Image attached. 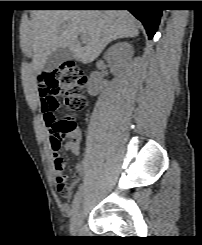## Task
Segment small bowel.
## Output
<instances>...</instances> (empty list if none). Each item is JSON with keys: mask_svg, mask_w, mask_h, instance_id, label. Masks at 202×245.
I'll return each instance as SVG.
<instances>
[{"mask_svg": "<svg viewBox=\"0 0 202 245\" xmlns=\"http://www.w3.org/2000/svg\"><path fill=\"white\" fill-rule=\"evenodd\" d=\"M38 97L46 98L51 104L57 107V99L54 93L46 90L42 85L38 87ZM69 137V141L65 144V149L71 151L75 155H79V145L82 137V132L79 127L74 126L70 131L66 132ZM51 143V142H50ZM52 149V172L55 179V189L60 192L64 197L69 196L72 193V189L80 182L84 173L85 166L83 164H77L75 172L70 181L65 174L66 159L62 156L59 149H55L51 145Z\"/></svg>", "mask_w": 202, "mask_h": 245, "instance_id": "1", "label": "small bowel"}]
</instances>
